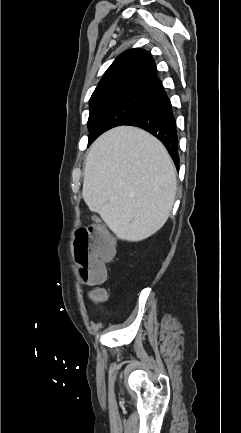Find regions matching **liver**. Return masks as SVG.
Here are the masks:
<instances>
[{
	"mask_svg": "<svg viewBox=\"0 0 241 433\" xmlns=\"http://www.w3.org/2000/svg\"><path fill=\"white\" fill-rule=\"evenodd\" d=\"M176 169L164 145L137 127L102 134L86 157L82 196L118 239L144 240L170 216Z\"/></svg>",
	"mask_w": 241,
	"mask_h": 433,
	"instance_id": "6515ba94",
	"label": "liver"
}]
</instances>
